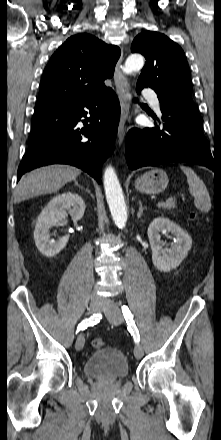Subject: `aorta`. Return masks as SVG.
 <instances>
[{
  "label": "aorta",
  "mask_w": 221,
  "mask_h": 440,
  "mask_svg": "<svg viewBox=\"0 0 221 440\" xmlns=\"http://www.w3.org/2000/svg\"><path fill=\"white\" fill-rule=\"evenodd\" d=\"M144 65V58L140 54H131L125 61L122 70L125 74H131ZM104 188L113 220L119 227H124L127 222V209L121 185L112 166H108L104 172Z\"/></svg>",
  "instance_id": "762f6f07"
}]
</instances>
